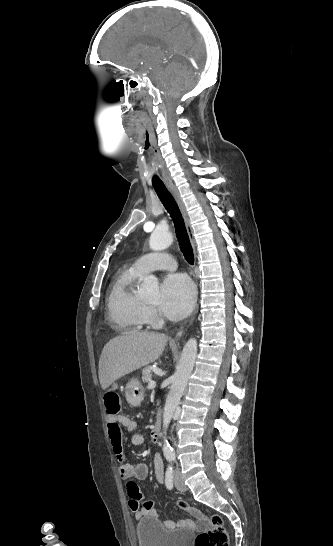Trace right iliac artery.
Listing matches in <instances>:
<instances>
[{
	"instance_id": "82829eb1",
	"label": "right iliac artery",
	"mask_w": 333,
	"mask_h": 546,
	"mask_svg": "<svg viewBox=\"0 0 333 546\" xmlns=\"http://www.w3.org/2000/svg\"><path fill=\"white\" fill-rule=\"evenodd\" d=\"M165 484L168 489L173 488V467L171 464L167 468V472L165 476Z\"/></svg>"
}]
</instances>
